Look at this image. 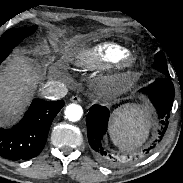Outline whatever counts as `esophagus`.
Wrapping results in <instances>:
<instances>
[{
	"label": "esophagus",
	"mask_w": 183,
	"mask_h": 183,
	"mask_svg": "<svg viewBox=\"0 0 183 183\" xmlns=\"http://www.w3.org/2000/svg\"><path fill=\"white\" fill-rule=\"evenodd\" d=\"M70 100L74 103H80L81 102V98L79 96H72Z\"/></svg>",
	"instance_id": "34e87169"
}]
</instances>
